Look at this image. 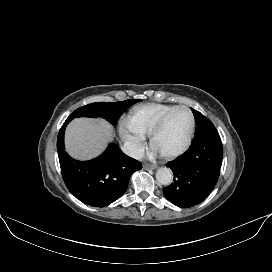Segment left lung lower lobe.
Here are the masks:
<instances>
[{"instance_id":"left-lung-lower-lobe-1","label":"left lung lower lobe","mask_w":272,"mask_h":272,"mask_svg":"<svg viewBox=\"0 0 272 272\" xmlns=\"http://www.w3.org/2000/svg\"><path fill=\"white\" fill-rule=\"evenodd\" d=\"M223 147L217 131L192 141L188 151L168 166L174 182L163 188L165 197L181 208L202 202L215 187L222 164Z\"/></svg>"}]
</instances>
